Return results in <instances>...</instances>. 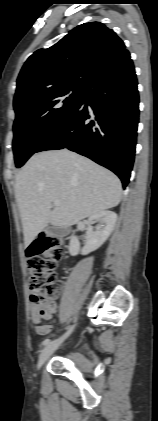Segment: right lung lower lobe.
Instances as JSON below:
<instances>
[{
    "mask_svg": "<svg viewBox=\"0 0 158 421\" xmlns=\"http://www.w3.org/2000/svg\"><path fill=\"white\" fill-rule=\"evenodd\" d=\"M138 105L137 78L126 52L90 79L77 105L36 152L68 148L113 171L125 188L134 162Z\"/></svg>",
    "mask_w": 158,
    "mask_h": 421,
    "instance_id": "right-lung-lower-lobe-1",
    "label": "right lung lower lobe"
}]
</instances>
